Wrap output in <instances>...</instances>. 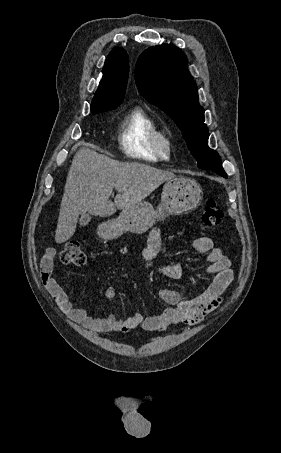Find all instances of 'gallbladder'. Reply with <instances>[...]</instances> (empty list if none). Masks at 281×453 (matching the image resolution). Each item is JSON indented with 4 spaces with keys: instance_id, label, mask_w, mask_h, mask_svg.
<instances>
[{
    "instance_id": "gallbladder-1",
    "label": "gallbladder",
    "mask_w": 281,
    "mask_h": 453,
    "mask_svg": "<svg viewBox=\"0 0 281 453\" xmlns=\"http://www.w3.org/2000/svg\"><path fill=\"white\" fill-rule=\"evenodd\" d=\"M89 220H91V216L89 214H83L82 218H80L79 226L81 228L88 226Z\"/></svg>"
}]
</instances>
